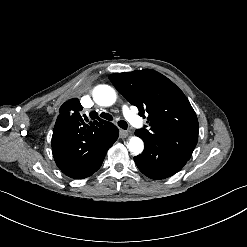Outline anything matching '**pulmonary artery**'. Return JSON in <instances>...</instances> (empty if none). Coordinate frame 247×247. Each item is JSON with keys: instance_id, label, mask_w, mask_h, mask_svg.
Masks as SVG:
<instances>
[{"instance_id": "pulmonary-artery-1", "label": "pulmonary artery", "mask_w": 247, "mask_h": 247, "mask_svg": "<svg viewBox=\"0 0 247 247\" xmlns=\"http://www.w3.org/2000/svg\"><path fill=\"white\" fill-rule=\"evenodd\" d=\"M122 113L125 118H127L130 123L136 127L141 125V120L136 118L133 113L131 112L129 106L127 104L122 105Z\"/></svg>"}]
</instances>
